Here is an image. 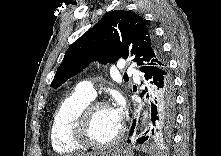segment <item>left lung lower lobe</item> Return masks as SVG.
<instances>
[{"label": "left lung lower lobe", "mask_w": 221, "mask_h": 156, "mask_svg": "<svg viewBox=\"0 0 221 156\" xmlns=\"http://www.w3.org/2000/svg\"><path fill=\"white\" fill-rule=\"evenodd\" d=\"M142 72L144 73L145 81L149 85V89L146 88V92H148L147 96L151 103L149 111L150 127L145 133L146 137L139 138L137 143L163 141L171 137L175 122L173 76L167 62L150 67ZM135 125L136 119L133 121L130 135L133 134Z\"/></svg>", "instance_id": "1"}]
</instances>
